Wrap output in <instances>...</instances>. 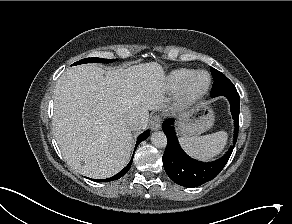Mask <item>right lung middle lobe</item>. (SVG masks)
<instances>
[{
	"instance_id": "dd1d6c3e",
	"label": "right lung middle lobe",
	"mask_w": 292,
	"mask_h": 224,
	"mask_svg": "<svg viewBox=\"0 0 292 224\" xmlns=\"http://www.w3.org/2000/svg\"><path fill=\"white\" fill-rule=\"evenodd\" d=\"M117 59H103V58H86L82 59L78 62H75L73 65L83 64V63H111L116 61Z\"/></svg>"
}]
</instances>
